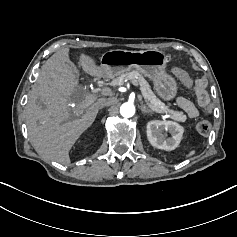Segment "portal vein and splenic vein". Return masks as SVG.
<instances>
[{"instance_id":"obj_1","label":"portal vein and splenic vein","mask_w":237,"mask_h":237,"mask_svg":"<svg viewBox=\"0 0 237 237\" xmlns=\"http://www.w3.org/2000/svg\"><path fill=\"white\" fill-rule=\"evenodd\" d=\"M131 81V79H130ZM132 85L137 89L139 86L136 84L137 82L133 79L131 81ZM142 95V94H141ZM143 96V95H142ZM143 100H145V103L148 105V108H150L151 110H154L158 113H161V112H169V113H172V114H177V111L175 110H172V109H159L158 107H156L153 103L149 102L148 100H146V96H143Z\"/></svg>"}]
</instances>
